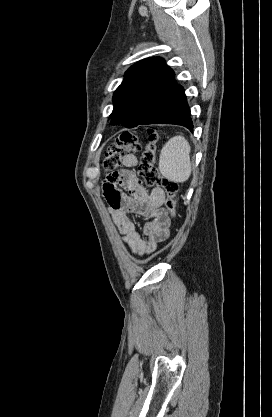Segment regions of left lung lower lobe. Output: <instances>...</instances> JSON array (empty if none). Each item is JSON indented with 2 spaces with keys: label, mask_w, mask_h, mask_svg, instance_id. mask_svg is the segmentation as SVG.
Instances as JSON below:
<instances>
[{
  "label": "left lung lower lobe",
  "mask_w": 272,
  "mask_h": 417,
  "mask_svg": "<svg viewBox=\"0 0 272 417\" xmlns=\"http://www.w3.org/2000/svg\"><path fill=\"white\" fill-rule=\"evenodd\" d=\"M147 124H177L193 131L190 109L181 85L177 84L141 125Z\"/></svg>",
  "instance_id": "obj_1"
}]
</instances>
